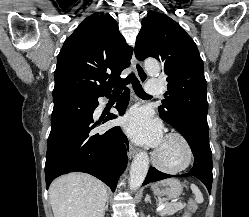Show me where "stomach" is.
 Segmentation results:
<instances>
[{
	"label": "stomach",
	"mask_w": 249,
	"mask_h": 217,
	"mask_svg": "<svg viewBox=\"0 0 249 217\" xmlns=\"http://www.w3.org/2000/svg\"><path fill=\"white\" fill-rule=\"evenodd\" d=\"M152 191L156 196L175 199L182 194L183 185L175 178H169L152 185Z\"/></svg>",
	"instance_id": "0dacf381"
}]
</instances>
